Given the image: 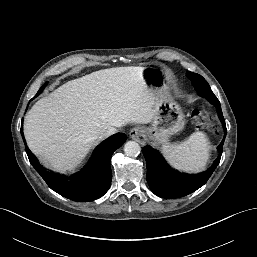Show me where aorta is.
<instances>
[{"mask_svg":"<svg viewBox=\"0 0 257 257\" xmlns=\"http://www.w3.org/2000/svg\"><path fill=\"white\" fill-rule=\"evenodd\" d=\"M141 148L135 141H128L124 145V152L129 157H136L140 154Z\"/></svg>","mask_w":257,"mask_h":257,"instance_id":"obj_1","label":"aorta"}]
</instances>
